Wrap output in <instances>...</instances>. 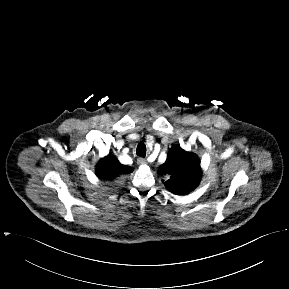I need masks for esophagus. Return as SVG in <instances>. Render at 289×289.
I'll use <instances>...</instances> for the list:
<instances>
[{
    "label": "esophagus",
    "instance_id": "34e87169",
    "mask_svg": "<svg viewBox=\"0 0 289 289\" xmlns=\"http://www.w3.org/2000/svg\"><path fill=\"white\" fill-rule=\"evenodd\" d=\"M137 163H138V165H146L147 164V160L142 158V157H139L137 159Z\"/></svg>",
    "mask_w": 289,
    "mask_h": 289
}]
</instances>
